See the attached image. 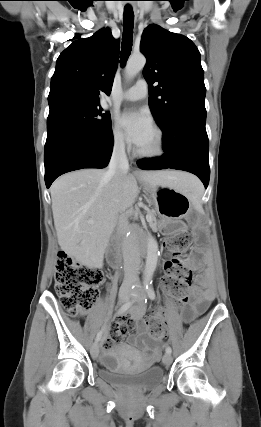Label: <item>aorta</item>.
Wrapping results in <instances>:
<instances>
[{"label":"aorta","mask_w":261,"mask_h":427,"mask_svg":"<svg viewBox=\"0 0 261 427\" xmlns=\"http://www.w3.org/2000/svg\"><path fill=\"white\" fill-rule=\"evenodd\" d=\"M146 58L142 54L132 55L126 64L125 74L127 78L136 76L145 66ZM158 261V244L151 235L147 238V256L144 271V280L149 281L156 269Z\"/></svg>","instance_id":"762f6f07"}]
</instances>
